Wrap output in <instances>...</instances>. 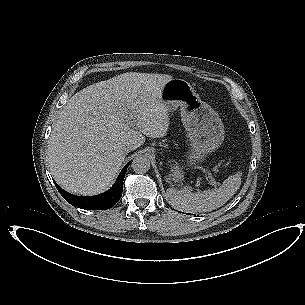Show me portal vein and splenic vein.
Returning <instances> with one entry per match:
<instances>
[{"mask_svg": "<svg viewBox=\"0 0 305 305\" xmlns=\"http://www.w3.org/2000/svg\"><path fill=\"white\" fill-rule=\"evenodd\" d=\"M209 179H210V185L216 187L217 183L215 182L214 178L211 175L209 176ZM196 190L200 192L199 185H196Z\"/></svg>", "mask_w": 305, "mask_h": 305, "instance_id": "18ae733b", "label": "portal vein and splenic vein"}]
</instances>
